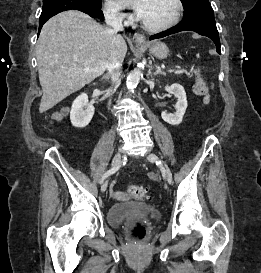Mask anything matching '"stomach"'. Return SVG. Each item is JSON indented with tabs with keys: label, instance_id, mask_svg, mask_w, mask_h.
I'll list each match as a JSON object with an SVG mask.
<instances>
[{
	"label": "stomach",
	"instance_id": "stomach-1",
	"mask_svg": "<svg viewBox=\"0 0 261 273\" xmlns=\"http://www.w3.org/2000/svg\"><path fill=\"white\" fill-rule=\"evenodd\" d=\"M138 46H140V44H138ZM149 51L152 55L159 59L166 58L169 52L166 44L159 41L149 44Z\"/></svg>",
	"mask_w": 261,
	"mask_h": 273
}]
</instances>
